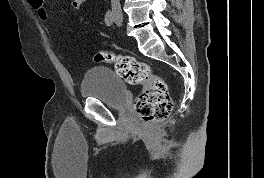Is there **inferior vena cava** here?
I'll return each instance as SVG.
<instances>
[{"instance_id": "602c4592", "label": "inferior vena cava", "mask_w": 264, "mask_h": 178, "mask_svg": "<svg viewBox=\"0 0 264 178\" xmlns=\"http://www.w3.org/2000/svg\"><path fill=\"white\" fill-rule=\"evenodd\" d=\"M111 6L114 13H121L120 0H111Z\"/></svg>"}]
</instances>
